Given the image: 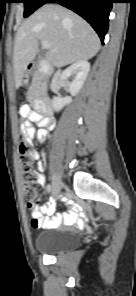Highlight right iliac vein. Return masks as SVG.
Instances as JSON below:
<instances>
[{
  "label": "right iliac vein",
  "instance_id": "1",
  "mask_svg": "<svg viewBox=\"0 0 136 296\" xmlns=\"http://www.w3.org/2000/svg\"><path fill=\"white\" fill-rule=\"evenodd\" d=\"M64 186L62 181L57 177H53V183H52V196L54 199H57L59 197L61 188Z\"/></svg>",
  "mask_w": 136,
  "mask_h": 296
}]
</instances>
